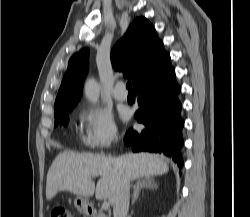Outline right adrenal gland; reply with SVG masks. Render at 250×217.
I'll list each match as a JSON object with an SVG mask.
<instances>
[{"instance_id":"2a0ac1e0","label":"right adrenal gland","mask_w":250,"mask_h":217,"mask_svg":"<svg viewBox=\"0 0 250 217\" xmlns=\"http://www.w3.org/2000/svg\"><path fill=\"white\" fill-rule=\"evenodd\" d=\"M143 188L156 189L158 188V185L155 183L153 178H144L137 180L136 184L133 186L132 205L139 197L140 191Z\"/></svg>"}]
</instances>
